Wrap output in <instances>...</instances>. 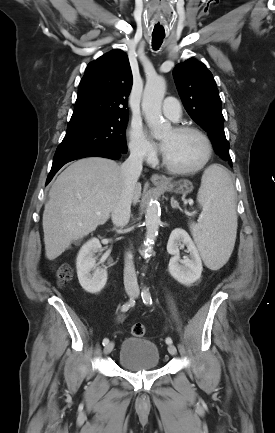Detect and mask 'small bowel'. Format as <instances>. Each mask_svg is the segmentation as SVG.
<instances>
[{
    "label": "small bowel",
    "mask_w": 275,
    "mask_h": 433,
    "mask_svg": "<svg viewBox=\"0 0 275 433\" xmlns=\"http://www.w3.org/2000/svg\"><path fill=\"white\" fill-rule=\"evenodd\" d=\"M123 319H124V314H122V313L118 314L117 321L121 322Z\"/></svg>",
    "instance_id": "1"
}]
</instances>
